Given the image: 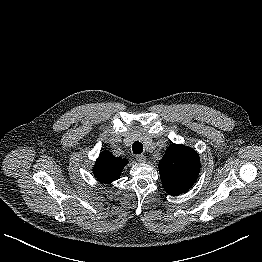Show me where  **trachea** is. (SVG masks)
<instances>
[{
	"instance_id": "obj_1",
	"label": "trachea",
	"mask_w": 262,
	"mask_h": 262,
	"mask_svg": "<svg viewBox=\"0 0 262 262\" xmlns=\"http://www.w3.org/2000/svg\"><path fill=\"white\" fill-rule=\"evenodd\" d=\"M133 153L135 154H141L143 152V144L136 141L133 143L132 146Z\"/></svg>"
}]
</instances>
